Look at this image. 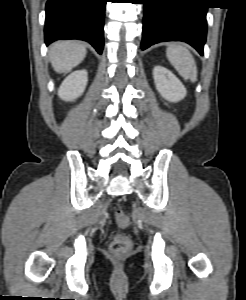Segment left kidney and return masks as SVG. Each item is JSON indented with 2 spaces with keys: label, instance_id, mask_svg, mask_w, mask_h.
<instances>
[{
  "label": "left kidney",
  "instance_id": "obj_1",
  "mask_svg": "<svg viewBox=\"0 0 246 300\" xmlns=\"http://www.w3.org/2000/svg\"><path fill=\"white\" fill-rule=\"evenodd\" d=\"M153 78L156 89L167 101L178 102L186 96L187 91L182 82L165 67H154Z\"/></svg>",
  "mask_w": 246,
  "mask_h": 300
}]
</instances>
